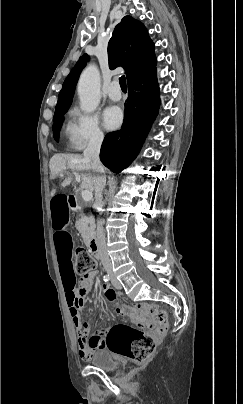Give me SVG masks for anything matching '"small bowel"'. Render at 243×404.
Wrapping results in <instances>:
<instances>
[{
    "mask_svg": "<svg viewBox=\"0 0 243 404\" xmlns=\"http://www.w3.org/2000/svg\"><path fill=\"white\" fill-rule=\"evenodd\" d=\"M68 195L55 193L50 200V214L53 229L54 245L63 279L66 302L72 323L77 331V342L80 357L88 360L94 352L105 347L104 338L100 335H88V323L81 321L79 310L83 307L85 296L92 288L95 272L85 275L77 282L72 263V237L68 229ZM104 296L110 303L116 300V292L108 285L104 286ZM118 314L124 313V308L115 306Z\"/></svg>",
    "mask_w": 243,
    "mask_h": 404,
    "instance_id": "obj_1",
    "label": "small bowel"
}]
</instances>
